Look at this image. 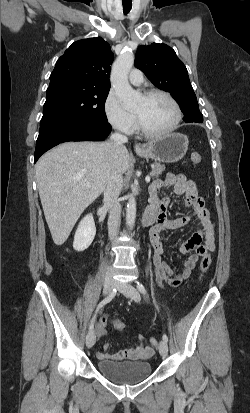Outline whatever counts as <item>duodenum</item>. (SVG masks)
<instances>
[{"label": "duodenum", "instance_id": "duodenum-1", "mask_svg": "<svg viewBox=\"0 0 250 413\" xmlns=\"http://www.w3.org/2000/svg\"><path fill=\"white\" fill-rule=\"evenodd\" d=\"M157 217V212L154 208L149 207L145 210L141 218V224L144 227L151 225Z\"/></svg>", "mask_w": 250, "mask_h": 413}]
</instances>
